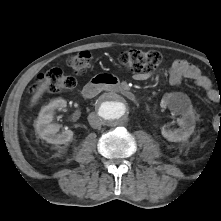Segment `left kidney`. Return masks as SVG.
Instances as JSON below:
<instances>
[{"instance_id": "1", "label": "left kidney", "mask_w": 221, "mask_h": 221, "mask_svg": "<svg viewBox=\"0 0 221 221\" xmlns=\"http://www.w3.org/2000/svg\"><path fill=\"white\" fill-rule=\"evenodd\" d=\"M160 106L168 108L172 113L181 115L177 119L178 129L170 130L162 127L161 133L170 142H181L187 140L194 132L196 118L189 97L181 92L165 93L161 99Z\"/></svg>"}]
</instances>
